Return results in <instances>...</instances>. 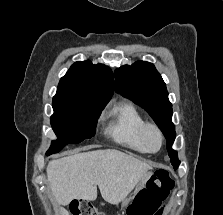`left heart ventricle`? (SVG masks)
Here are the masks:
<instances>
[{"label": "left heart ventricle", "instance_id": "b2bd125f", "mask_svg": "<svg viewBox=\"0 0 223 215\" xmlns=\"http://www.w3.org/2000/svg\"><path fill=\"white\" fill-rule=\"evenodd\" d=\"M147 145L151 148H157L159 145L158 136L154 131H149L146 139Z\"/></svg>", "mask_w": 223, "mask_h": 215}]
</instances>
